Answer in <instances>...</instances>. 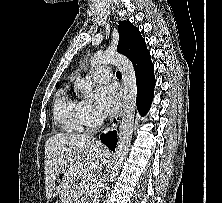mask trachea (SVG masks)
<instances>
[{
	"instance_id": "1",
	"label": "trachea",
	"mask_w": 222,
	"mask_h": 203,
	"mask_svg": "<svg viewBox=\"0 0 222 203\" xmlns=\"http://www.w3.org/2000/svg\"><path fill=\"white\" fill-rule=\"evenodd\" d=\"M116 77L120 79V78H122V74L119 71H117L116 72Z\"/></svg>"
}]
</instances>
